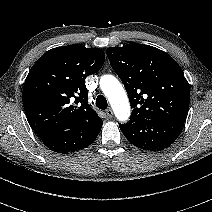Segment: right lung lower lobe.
I'll list each match as a JSON object with an SVG mask.
<instances>
[{
    "label": "right lung lower lobe",
    "mask_w": 212,
    "mask_h": 212,
    "mask_svg": "<svg viewBox=\"0 0 212 212\" xmlns=\"http://www.w3.org/2000/svg\"><path fill=\"white\" fill-rule=\"evenodd\" d=\"M100 129L86 131V130H67L57 133H52L41 137L42 143L48 147L50 150L61 153V154H70L73 152H78L83 148L91 145Z\"/></svg>",
    "instance_id": "1"
}]
</instances>
